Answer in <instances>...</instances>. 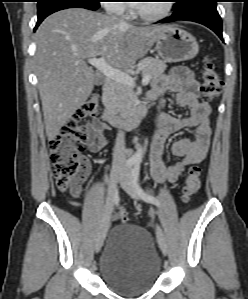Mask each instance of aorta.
Returning <instances> with one entry per match:
<instances>
[{
  "instance_id": "aorta-1",
  "label": "aorta",
  "mask_w": 248,
  "mask_h": 299,
  "mask_svg": "<svg viewBox=\"0 0 248 299\" xmlns=\"http://www.w3.org/2000/svg\"><path fill=\"white\" fill-rule=\"evenodd\" d=\"M142 157H143V148H142V146H139L132 158L136 162H141Z\"/></svg>"
}]
</instances>
